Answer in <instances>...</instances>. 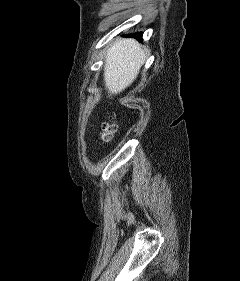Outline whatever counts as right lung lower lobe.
I'll return each mask as SVG.
<instances>
[{
	"label": "right lung lower lobe",
	"mask_w": 240,
	"mask_h": 281,
	"mask_svg": "<svg viewBox=\"0 0 240 281\" xmlns=\"http://www.w3.org/2000/svg\"><path fill=\"white\" fill-rule=\"evenodd\" d=\"M140 35H142V32H138V33L132 34V36H134L136 38L142 39Z\"/></svg>",
	"instance_id": "right-lung-lower-lobe-1"
}]
</instances>
